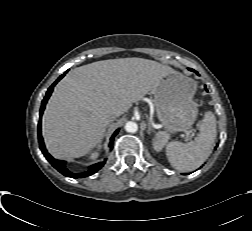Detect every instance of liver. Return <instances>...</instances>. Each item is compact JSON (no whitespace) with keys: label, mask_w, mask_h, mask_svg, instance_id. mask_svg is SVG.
Listing matches in <instances>:
<instances>
[{"label":"liver","mask_w":252,"mask_h":231,"mask_svg":"<svg viewBox=\"0 0 252 231\" xmlns=\"http://www.w3.org/2000/svg\"><path fill=\"white\" fill-rule=\"evenodd\" d=\"M172 69L143 58L97 61L71 70L55 87L42 119L50 154L78 158L98 145L108 116L124 114Z\"/></svg>","instance_id":"obj_1"}]
</instances>
